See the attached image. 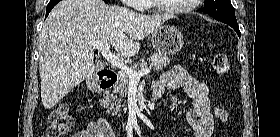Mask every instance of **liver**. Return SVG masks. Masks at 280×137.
<instances>
[{
    "mask_svg": "<svg viewBox=\"0 0 280 137\" xmlns=\"http://www.w3.org/2000/svg\"><path fill=\"white\" fill-rule=\"evenodd\" d=\"M171 18L144 15L103 0H62L50 12L40 36L41 98L53 108L95 71L93 43L112 45L123 57L140 50V41Z\"/></svg>",
    "mask_w": 280,
    "mask_h": 137,
    "instance_id": "obj_1",
    "label": "liver"
}]
</instances>
